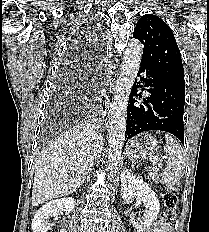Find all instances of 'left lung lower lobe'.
I'll use <instances>...</instances> for the list:
<instances>
[{
  "label": "left lung lower lobe",
  "mask_w": 209,
  "mask_h": 232,
  "mask_svg": "<svg viewBox=\"0 0 209 232\" xmlns=\"http://www.w3.org/2000/svg\"><path fill=\"white\" fill-rule=\"evenodd\" d=\"M137 76L140 79L135 80L127 106L125 144L135 135L151 130L171 133L184 144L185 84L162 76L144 61ZM140 87L150 94L142 97L137 91ZM134 97L142 98L143 102H137Z\"/></svg>",
  "instance_id": "1"
}]
</instances>
